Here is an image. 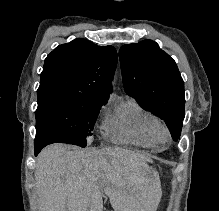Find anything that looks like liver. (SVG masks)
<instances>
[{"mask_svg": "<svg viewBox=\"0 0 219 211\" xmlns=\"http://www.w3.org/2000/svg\"><path fill=\"white\" fill-rule=\"evenodd\" d=\"M149 155L122 149H75L47 145L35 167L39 211H103V191L114 211H151Z\"/></svg>", "mask_w": 219, "mask_h": 211, "instance_id": "liver-1", "label": "liver"}]
</instances>
